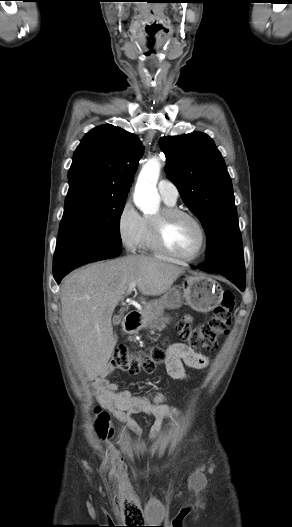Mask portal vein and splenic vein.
Returning <instances> with one entry per match:
<instances>
[{"instance_id":"1","label":"portal vein and splenic vein","mask_w":292,"mask_h":527,"mask_svg":"<svg viewBox=\"0 0 292 527\" xmlns=\"http://www.w3.org/2000/svg\"><path fill=\"white\" fill-rule=\"evenodd\" d=\"M136 285H137V282L130 283L129 288L127 290V294H130L131 291H133L135 289Z\"/></svg>"}]
</instances>
